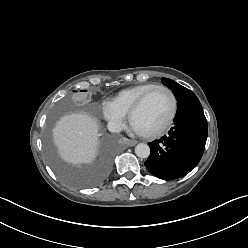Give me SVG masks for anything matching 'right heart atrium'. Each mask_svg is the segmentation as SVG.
Wrapping results in <instances>:
<instances>
[{
	"label": "right heart atrium",
	"instance_id": "d8ad5b80",
	"mask_svg": "<svg viewBox=\"0 0 248 248\" xmlns=\"http://www.w3.org/2000/svg\"><path fill=\"white\" fill-rule=\"evenodd\" d=\"M103 116L115 128L122 127L125 121V114L119 111L111 102L104 104Z\"/></svg>",
	"mask_w": 248,
	"mask_h": 248
}]
</instances>
